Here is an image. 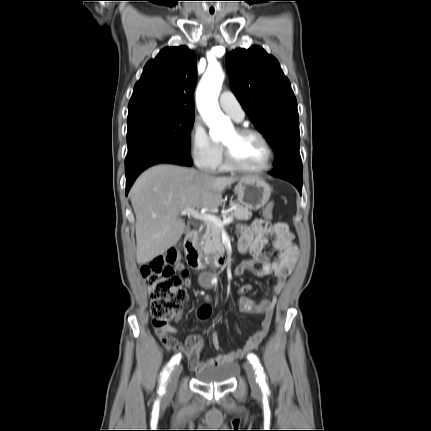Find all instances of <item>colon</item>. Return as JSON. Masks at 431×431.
Wrapping results in <instances>:
<instances>
[{"label": "colon", "mask_w": 431, "mask_h": 431, "mask_svg": "<svg viewBox=\"0 0 431 431\" xmlns=\"http://www.w3.org/2000/svg\"><path fill=\"white\" fill-rule=\"evenodd\" d=\"M273 208V202H269L265 206V218L272 217ZM181 261L180 253L176 249H171L141 267V274L149 287L153 325L156 328L166 326L175 311L188 298L186 289L183 286V279L175 271V265H180ZM211 320L212 308L210 301H201V306L196 309V315L192 318V321L195 324H201ZM234 328L237 336H242L240 325L237 324Z\"/></svg>", "instance_id": "obj_1"}]
</instances>
